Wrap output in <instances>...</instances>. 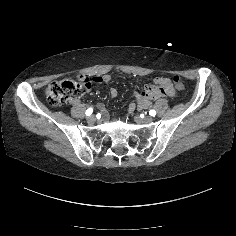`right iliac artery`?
<instances>
[{
  "label": "right iliac artery",
  "mask_w": 236,
  "mask_h": 236,
  "mask_svg": "<svg viewBox=\"0 0 236 236\" xmlns=\"http://www.w3.org/2000/svg\"><path fill=\"white\" fill-rule=\"evenodd\" d=\"M92 112H93V109H92V108H89V109L86 110L85 114H86L87 116H89V115L92 114Z\"/></svg>",
  "instance_id": "1"
}]
</instances>
